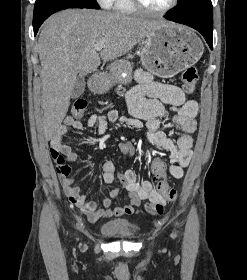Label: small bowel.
Returning <instances> with one entry per match:
<instances>
[{
    "label": "small bowel",
    "instance_id": "obj_1",
    "mask_svg": "<svg viewBox=\"0 0 247 280\" xmlns=\"http://www.w3.org/2000/svg\"><path fill=\"white\" fill-rule=\"evenodd\" d=\"M135 77L138 84L126 95L130 117L120 115L115 110L93 114L86 121L67 116L52 133L51 154H59L69 163L77 161V153L63 141L70 127L76 130L96 127L99 134H104L109 123H122L135 128L145 126L148 129L147 141L169 152V172L174 178H181L193 154L191 135L196 131L195 118L198 113V103L188 99L179 87L157 82L150 73L144 70H138ZM166 106L175 112L174 123L182 131L175 142L158 130L160 121L167 114ZM102 172L104 182L112 183L115 180L116 168L113 162H105ZM69 175L70 173L59 174L63 190L70 202L90 221L138 213L135 207L146 200L148 203L145 205V210L151 214L162 213L166 205L165 198L153 189L151 182L138 181L133 170H127L124 173L123 176L131 181V186L126 191L124 203L114 208H112V203L119 190H112L109 196L101 201L88 200L81 194L80 187L75 184L74 178Z\"/></svg>",
    "mask_w": 247,
    "mask_h": 280
}]
</instances>
